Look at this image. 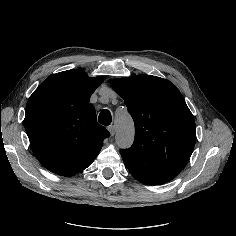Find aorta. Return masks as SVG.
I'll use <instances>...</instances> for the list:
<instances>
[{
    "label": "aorta",
    "mask_w": 236,
    "mask_h": 236,
    "mask_svg": "<svg viewBox=\"0 0 236 236\" xmlns=\"http://www.w3.org/2000/svg\"><path fill=\"white\" fill-rule=\"evenodd\" d=\"M116 143L121 148H128L134 140V123L127 112L119 113L115 119Z\"/></svg>",
    "instance_id": "762f6f07"
}]
</instances>
